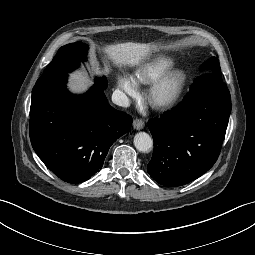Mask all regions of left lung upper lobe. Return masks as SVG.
Segmentation results:
<instances>
[{"label": "left lung upper lobe", "mask_w": 255, "mask_h": 255, "mask_svg": "<svg viewBox=\"0 0 255 255\" xmlns=\"http://www.w3.org/2000/svg\"><path fill=\"white\" fill-rule=\"evenodd\" d=\"M207 65L211 67L212 73H215L217 75H221V69L219 65V60L217 57L211 58L208 62Z\"/></svg>", "instance_id": "5c2ea615"}]
</instances>
